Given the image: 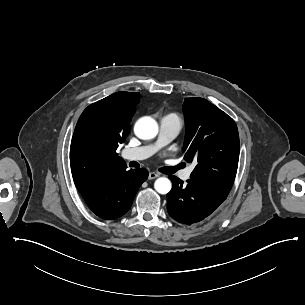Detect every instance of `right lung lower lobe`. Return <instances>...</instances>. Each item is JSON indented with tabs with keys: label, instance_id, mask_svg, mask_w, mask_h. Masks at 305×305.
Here are the masks:
<instances>
[{
	"label": "right lung lower lobe",
	"instance_id": "right-lung-lower-lobe-1",
	"mask_svg": "<svg viewBox=\"0 0 305 305\" xmlns=\"http://www.w3.org/2000/svg\"><path fill=\"white\" fill-rule=\"evenodd\" d=\"M147 178L148 171L144 168H122L80 193L94 214L112 220L130 209L137 190Z\"/></svg>",
	"mask_w": 305,
	"mask_h": 305
}]
</instances>
